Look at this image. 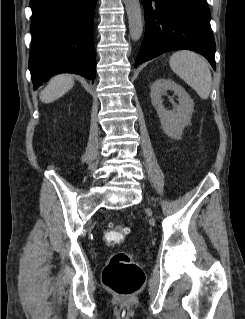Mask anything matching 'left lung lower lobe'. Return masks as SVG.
I'll list each match as a JSON object with an SVG mask.
<instances>
[{
	"label": "left lung lower lobe",
	"instance_id": "obj_1",
	"mask_svg": "<svg viewBox=\"0 0 245 319\" xmlns=\"http://www.w3.org/2000/svg\"><path fill=\"white\" fill-rule=\"evenodd\" d=\"M145 37L135 66L172 50L188 49L215 65V41L206 0H142Z\"/></svg>",
	"mask_w": 245,
	"mask_h": 319
}]
</instances>
